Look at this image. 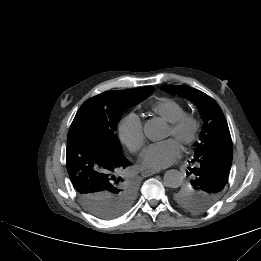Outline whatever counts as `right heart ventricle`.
Returning <instances> with one entry per match:
<instances>
[{
    "label": "right heart ventricle",
    "instance_id": "right-heart-ventricle-1",
    "mask_svg": "<svg viewBox=\"0 0 261 261\" xmlns=\"http://www.w3.org/2000/svg\"><path fill=\"white\" fill-rule=\"evenodd\" d=\"M152 111L165 121L172 122L185 112V107L175 99L163 98L152 106Z\"/></svg>",
    "mask_w": 261,
    "mask_h": 261
}]
</instances>
